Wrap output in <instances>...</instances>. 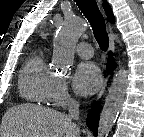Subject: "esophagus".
I'll return each mask as SVG.
<instances>
[{"mask_svg":"<svg viewBox=\"0 0 144 137\" xmlns=\"http://www.w3.org/2000/svg\"><path fill=\"white\" fill-rule=\"evenodd\" d=\"M99 5H101V0H97ZM108 31H109V49L110 51L114 52L115 50V43H114V35H113V26L108 23ZM108 78L109 76H107V78L105 79V82L97 96V100L100 99L102 97V95L105 92L106 86H107V82H108Z\"/></svg>","mask_w":144,"mask_h":137,"instance_id":"34e87169","label":"esophagus"}]
</instances>
